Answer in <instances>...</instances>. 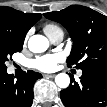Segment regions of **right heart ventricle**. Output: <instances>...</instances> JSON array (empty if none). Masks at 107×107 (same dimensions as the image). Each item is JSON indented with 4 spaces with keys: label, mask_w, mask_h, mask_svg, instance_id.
I'll use <instances>...</instances> for the list:
<instances>
[{
    "label": "right heart ventricle",
    "mask_w": 107,
    "mask_h": 107,
    "mask_svg": "<svg viewBox=\"0 0 107 107\" xmlns=\"http://www.w3.org/2000/svg\"><path fill=\"white\" fill-rule=\"evenodd\" d=\"M43 30L50 39H52L56 34L63 32V30L56 24H46Z\"/></svg>",
    "instance_id": "e07e8e85"
}]
</instances>
